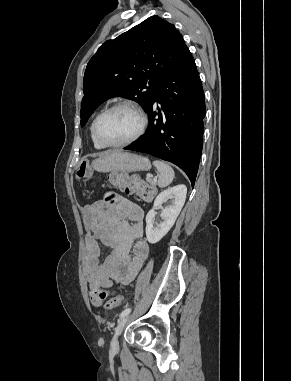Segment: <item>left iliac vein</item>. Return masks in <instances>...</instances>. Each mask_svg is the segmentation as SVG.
I'll return each mask as SVG.
<instances>
[{
	"instance_id": "1",
	"label": "left iliac vein",
	"mask_w": 291,
	"mask_h": 381,
	"mask_svg": "<svg viewBox=\"0 0 291 381\" xmlns=\"http://www.w3.org/2000/svg\"><path fill=\"white\" fill-rule=\"evenodd\" d=\"M129 319H130V315L127 314L126 316L122 317V318L120 319V321L118 322V325H117V327H116V329H115V334H114L113 339H112V342H111V347H112L113 349L118 348V337H119V335L122 333V331H123L125 325H126L127 322L129 321Z\"/></svg>"
}]
</instances>
